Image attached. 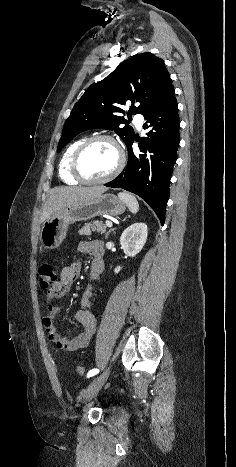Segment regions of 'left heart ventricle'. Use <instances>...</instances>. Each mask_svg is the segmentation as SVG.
Here are the masks:
<instances>
[{"instance_id":"1","label":"left heart ventricle","mask_w":236,"mask_h":467,"mask_svg":"<svg viewBox=\"0 0 236 467\" xmlns=\"http://www.w3.org/2000/svg\"><path fill=\"white\" fill-rule=\"evenodd\" d=\"M117 161L118 154L113 144L106 140H100L85 150L80 167L87 178L99 179L112 172Z\"/></svg>"}]
</instances>
